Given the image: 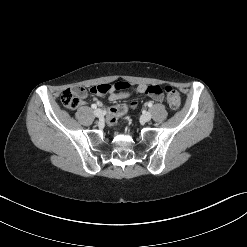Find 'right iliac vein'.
Segmentation results:
<instances>
[{"mask_svg":"<svg viewBox=\"0 0 247 247\" xmlns=\"http://www.w3.org/2000/svg\"><path fill=\"white\" fill-rule=\"evenodd\" d=\"M94 115L98 118H101L103 116V112L101 109H95L94 110Z\"/></svg>","mask_w":247,"mask_h":247,"instance_id":"1","label":"right iliac vein"}]
</instances>
